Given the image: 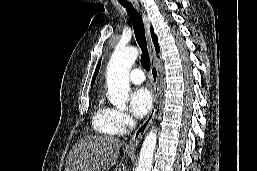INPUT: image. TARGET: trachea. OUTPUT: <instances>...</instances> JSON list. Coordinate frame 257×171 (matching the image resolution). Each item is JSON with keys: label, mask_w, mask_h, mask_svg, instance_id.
Wrapping results in <instances>:
<instances>
[{"label": "trachea", "mask_w": 257, "mask_h": 171, "mask_svg": "<svg viewBox=\"0 0 257 171\" xmlns=\"http://www.w3.org/2000/svg\"><path fill=\"white\" fill-rule=\"evenodd\" d=\"M121 5L126 8L130 21L134 28V34L137 40L139 47L141 48V64L142 67L146 70H150V58L147 49V41L145 37L144 24L141 15L130 3H121Z\"/></svg>", "instance_id": "3493384b"}]
</instances>
